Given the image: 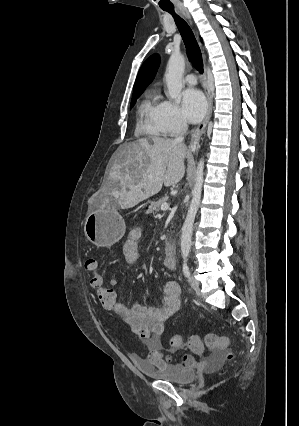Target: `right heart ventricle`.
Instances as JSON below:
<instances>
[{"label": "right heart ventricle", "mask_w": 299, "mask_h": 426, "mask_svg": "<svg viewBox=\"0 0 299 426\" xmlns=\"http://www.w3.org/2000/svg\"><path fill=\"white\" fill-rule=\"evenodd\" d=\"M138 114L137 132L139 134L158 137L164 133L160 121V103L155 100L153 94L142 101Z\"/></svg>", "instance_id": "obj_1"}]
</instances>
